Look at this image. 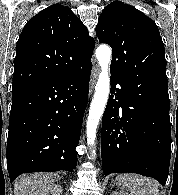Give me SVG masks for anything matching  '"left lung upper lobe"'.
<instances>
[{"label": "left lung upper lobe", "instance_id": "obj_1", "mask_svg": "<svg viewBox=\"0 0 178 195\" xmlns=\"http://www.w3.org/2000/svg\"><path fill=\"white\" fill-rule=\"evenodd\" d=\"M96 34L112 48V76L140 93L169 100L164 44L152 19L114 1L102 11Z\"/></svg>", "mask_w": 178, "mask_h": 195}]
</instances>
